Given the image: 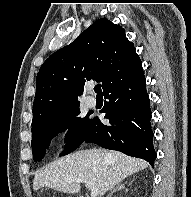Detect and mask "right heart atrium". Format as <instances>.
<instances>
[{
  "mask_svg": "<svg viewBox=\"0 0 191 197\" xmlns=\"http://www.w3.org/2000/svg\"><path fill=\"white\" fill-rule=\"evenodd\" d=\"M75 135V128L72 125H65L58 131V139L62 144L70 143Z\"/></svg>",
  "mask_w": 191,
  "mask_h": 197,
  "instance_id": "1",
  "label": "right heart atrium"
}]
</instances>
